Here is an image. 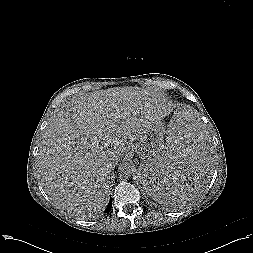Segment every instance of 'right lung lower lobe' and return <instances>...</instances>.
<instances>
[{
  "label": "right lung lower lobe",
  "instance_id": "1",
  "mask_svg": "<svg viewBox=\"0 0 253 253\" xmlns=\"http://www.w3.org/2000/svg\"><path fill=\"white\" fill-rule=\"evenodd\" d=\"M111 207H112V202H111V199H110L109 204H108V206L105 209V213H109L110 210H111Z\"/></svg>",
  "mask_w": 253,
  "mask_h": 253
}]
</instances>
